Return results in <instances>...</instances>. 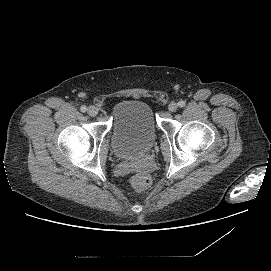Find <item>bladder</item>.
<instances>
[{"instance_id": "obj_1", "label": "bladder", "mask_w": 271, "mask_h": 271, "mask_svg": "<svg viewBox=\"0 0 271 271\" xmlns=\"http://www.w3.org/2000/svg\"><path fill=\"white\" fill-rule=\"evenodd\" d=\"M156 140V124L151 107L142 101L126 100L113 109L112 148L122 159L145 155Z\"/></svg>"}]
</instances>
